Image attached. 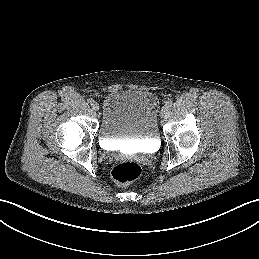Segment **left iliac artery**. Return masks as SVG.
I'll list each match as a JSON object with an SVG mask.
<instances>
[{"instance_id":"1","label":"left iliac artery","mask_w":259,"mask_h":259,"mask_svg":"<svg viewBox=\"0 0 259 259\" xmlns=\"http://www.w3.org/2000/svg\"><path fill=\"white\" fill-rule=\"evenodd\" d=\"M172 104H173V102L169 99L165 102V106L168 107V108L171 107Z\"/></svg>"}]
</instances>
